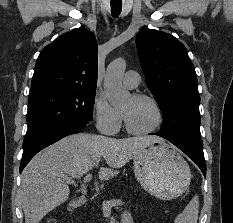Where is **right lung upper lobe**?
I'll use <instances>...</instances> for the list:
<instances>
[{
  "instance_id": "obj_1",
  "label": "right lung upper lobe",
  "mask_w": 233,
  "mask_h": 223,
  "mask_svg": "<svg viewBox=\"0 0 233 223\" xmlns=\"http://www.w3.org/2000/svg\"><path fill=\"white\" fill-rule=\"evenodd\" d=\"M98 46L94 34L77 28L61 35L40 53L31 94L56 88L96 89Z\"/></svg>"
}]
</instances>
